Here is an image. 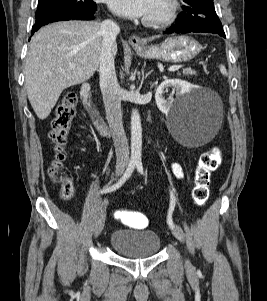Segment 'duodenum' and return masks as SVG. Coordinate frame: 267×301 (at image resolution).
I'll use <instances>...</instances> for the list:
<instances>
[{
    "mask_svg": "<svg viewBox=\"0 0 267 301\" xmlns=\"http://www.w3.org/2000/svg\"><path fill=\"white\" fill-rule=\"evenodd\" d=\"M91 86L88 82H84L81 86L80 93L83 100L84 107L89 112L92 117L94 123L97 125L101 132H105L107 130V125L103 118L100 116L92 98L90 95Z\"/></svg>",
    "mask_w": 267,
    "mask_h": 301,
    "instance_id": "1",
    "label": "duodenum"
}]
</instances>
